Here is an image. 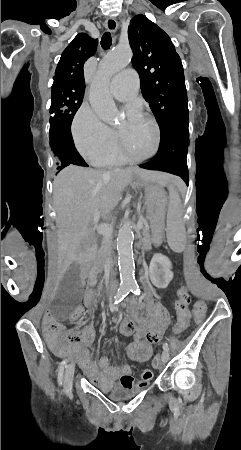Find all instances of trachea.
Wrapping results in <instances>:
<instances>
[{"label":"trachea","instance_id":"3493384b","mask_svg":"<svg viewBox=\"0 0 241 450\" xmlns=\"http://www.w3.org/2000/svg\"><path fill=\"white\" fill-rule=\"evenodd\" d=\"M112 44V36L110 32H105L101 38V47L104 50H107L111 47Z\"/></svg>","mask_w":241,"mask_h":450}]
</instances>
